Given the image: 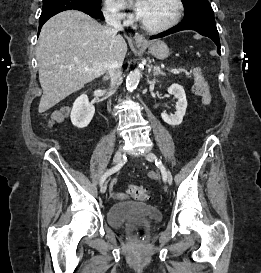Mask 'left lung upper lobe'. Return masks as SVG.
<instances>
[{"instance_id":"5c2ea615","label":"left lung upper lobe","mask_w":261,"mask_h":273,"mask_svg":"<svg viewBox=\"0 0 261 273\" xmlns=\"http://www.w3.org/2000/svg\"><path fill=\"white\" fill-rule=\"evenodd\" d=\"M205 1H208V0H182L185 10L191 8L197 3L205 2Z\"/></svg>"}]
</instances>
